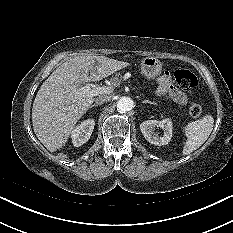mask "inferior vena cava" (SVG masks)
Listing matches in <instances>:
<instances>
[{
    "label": "inferior vena cava",
    "instance_id": "1",
    "mask_svg": "<svg viewBox=\"0 0 233 233\" xmlns=\"http://www.w3.org/2000/svg\"><path fill=\"white\" fill-rule=\"evenodd\" d=\"M111 97L106 95H101L95 99L97 105H102L104 102L110 101Z\"/></svg>",
    "mask_w": 233,
    "mask_h": 233
}]
</instances>
